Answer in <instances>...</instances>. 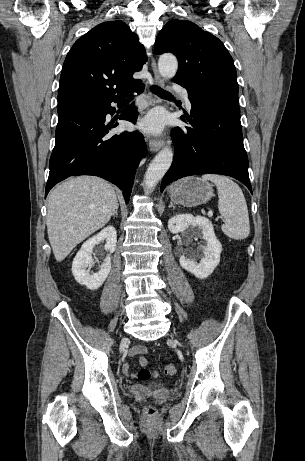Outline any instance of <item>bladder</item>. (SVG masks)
<instances>
[{
  "mask_svg": "<svg viewBox=\"0 0 305 461\" xmlns=\"http://www.w3.org/2000/svg\"><path fill=\"white\" fill-rule=\"evenodd\" d=\"M154 386H155V387H159L160 385H159V384H155Z\"/></svg>",
  "mask_w": 305,
  "mask_h": 461,
  "instance_id": "1",
  "label": "bladder"
}]
</instances>
